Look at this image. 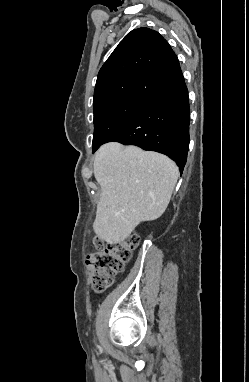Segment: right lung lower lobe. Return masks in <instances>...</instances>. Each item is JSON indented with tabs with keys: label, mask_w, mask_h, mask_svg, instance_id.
I'll use <instances>...</instances> for the list:
<instances>
[{
	"label": "right lung lower lobe",
	"mask_w": 249,
	"mask_h": 382,
	"mask_svg": "<svg viewBox=\"0 0 249 382\" xmlns=\"http://www.w3.org/2000/svg\"><path fill=\"white\" fill-rule=\"evenodd\" d=\"M189 122L188 90L182 75L152 97L127 126L105 143L116 141L165 154L182 173L189 148Z\"/></svg>",
	"instance_id": "obj_1"
}]
</instances>
